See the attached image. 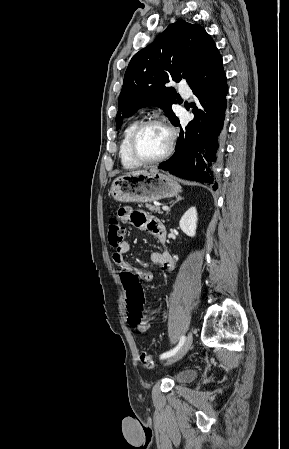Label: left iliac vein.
<instances>
[{"instance_id":"4c4485c4","label":"left iliac vein","mask_w":289,"mask_h":449,"mask_svg":"<svg viewBox=\"0 0 289 449\" xmlns=\"http://www.w3.org/2000/svg\"><path fill=\"white\" fill-rule=\"evenodd\" d=\"M193 341V334L192 332H189L187 337L185 338V341L183 345L180 347V349L171 357H169L166 361V365H171L178 360H180L190 349Z\"/></svg>"}]
</instances>
